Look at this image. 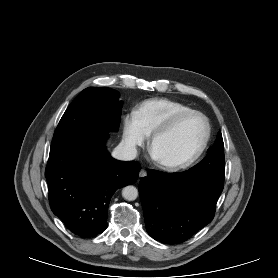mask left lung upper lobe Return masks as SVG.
Wrapping results in <instances>:
<instances>
[{
  "label": "left lung upper lobe",
  "mask_w": 278,
  "mask_h": 278,
  "mask_svg": "<svg viewBox=\"0 0 278 278\" xmlns=\"http://www.w3.org/2000/svg\"><path fill=\"white\" fill-rule=\"evenodd\" d=\"M190 170L224 176V143L221 132H218L214 145L208 149L207 156Z\"/></svg>",
  "instance_id": "5c2ea615"
}]
</instances>
